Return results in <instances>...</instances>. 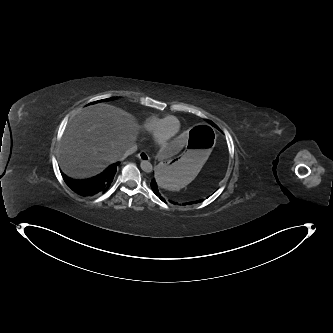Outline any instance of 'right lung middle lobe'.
Returning <instances> with one entry per match:
<instances>
[{"label":"right lung middle lobe","instance_id":"dd1d6c3e","mask_svg":"<svg viewBox=\"0 0 333 333\" xmlns=\"http://www.w3.org/2000/svg\"><path fill=\"white\" fill-rule=\"evenodd\" d=\"M116 97H113V98H109V99H103V100H99V101H104V100H112V99H115ZM97 101V102H99Z\"/></svg>","mask_w":333,"mask_h":333}]
</instances>
